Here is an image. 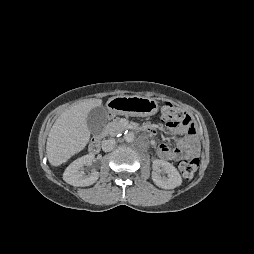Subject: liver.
Returning a JSON list of instances; mask_svg holds the SVG:
<instances>
[{"label": "liver", "mask_w": 254, "mask_h": 254, "mask_svg": "<svg viewBox=\"0 0 254 254\" xmlns=\"http://www.w3.org/2000/svg\"><path fill=\"white\" fill-rule=\"evenodd\" d=\"M102 105L101 99H88L63 112L53 124L46 144L49 163L59 166L82 151L90 139L87 115Z\"/></svg>", "instance_id": "obj_1"}]
</instances>
